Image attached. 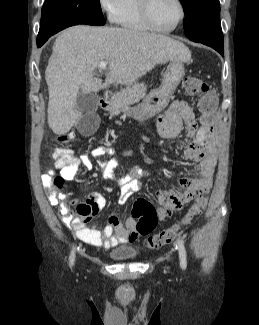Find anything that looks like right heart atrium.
<instances>
[{
  "label": "right heart atrium",
  "instance_id": "1",
  "mask_svg": "<svg viewBox=\"0 0 259 325\" xmlns=\"http://www.w3.org/2000/svg\"><path fill=\"white\" fill-rule=\"evenodd\" d=\"M121 2L122 0H98L101 10L109 19L113 20L120 9Z\"/></svg>",
  "mask_w": 259,
  "mask_h": 325
}]
</instances>
